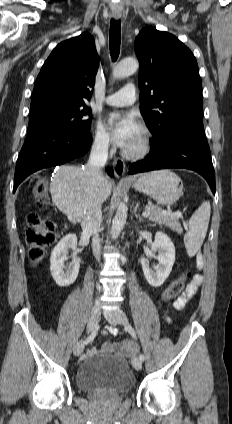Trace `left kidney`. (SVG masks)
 Listing matches in <instances>:
<instances>
[{"label":"left kidney","mask_w":232,"mask_h":424,"mask_svg":"<svg viewBox=\"0 0 232 424\" xmlns=\"http://www.w3.org/2000/svg\"><path fill=\"white\" fill-rule=\"evenodd\" d=\"M153 252H158V265L153 271L149 267L148 259H141L142 270L147 282L153 287H160L168 278L175 262V247L171 239L163 232L155 234L154 243L151 245Z\"/></svg>","instance_id":"1"}]
</instances>
